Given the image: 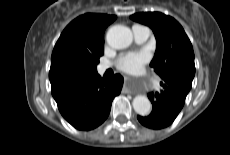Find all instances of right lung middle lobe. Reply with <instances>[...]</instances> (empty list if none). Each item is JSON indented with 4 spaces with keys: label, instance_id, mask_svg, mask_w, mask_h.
I'll return each mask as SVG.
<instances>
[{
    "label": "right lung middle lobe",
    "instance_id": "obj_1",
    "mask_svg": "<svg viewBox=\"0 0 230 155\" xmlns=\"http://www.w3.org/2000/svg\"><path fill=\"white\" fill-rule=\"evenodd\" d=\"M98 63H99V59L89 61V62H82V61L66 62L60 67L58 71V77L72 78V77L93 74L97 72L96 67Z\"/></svg>",
    "mask_w": 230,
    "mask_h": 155
}]
</instances>
